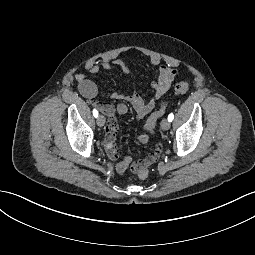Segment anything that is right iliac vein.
I'll use <instances>...</instances> for the list:
<instances>
[{"instance_id":"63e3f726","label":"right iliac vein","mask_w":255,"mask_h":255,"mask_svg":"<svg viewBox=\"0 0 255 255\" xmlns=\"http://www.w3.org/2000/svg\"><path fill=\"white\" fill-rule=\"evenodd\" d=\"M105 124V117L103 115H99L97 118V125L99 127H103Z\"/></svg>"}]
</instances>
